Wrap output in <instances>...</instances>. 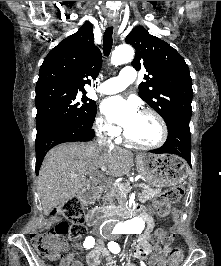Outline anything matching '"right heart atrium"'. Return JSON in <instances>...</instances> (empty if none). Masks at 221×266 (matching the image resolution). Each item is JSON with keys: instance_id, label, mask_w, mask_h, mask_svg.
I'll return each mask as SVG.
<instances>
[{"instance_id": "obj_1", "label": "right heart atrium", "mask_w": 221, "mask_h": 266, "mask_svg": "<svg viewBox=\"0 0 221 266\" xmlns=\"http://www.w3.org/2000/svg\"><path fill=\"white\" fill-rule=\"evenodd\" d=\"M94 130L96 134L105 139H113L119 136L120 130L118 127L113 126L105 118L98 115L94 121Z\"/></svg>"}]
</instances>
